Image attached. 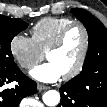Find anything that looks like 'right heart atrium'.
<instances>
[{
  "mask_svg": "<svg viewBox=\"0 0 107 107\" xmlns=\"http://www.w3.org/2000/svg\"><path fill=\"white\" fill-rule=\"evenodd\" d=\"M11 55L23 69H32L43 58V52L35 41L23 33L12 37L9 43Z\"/></svg>",
  "mask_w": 107,
  "mask_h": 107,
  "instance_id": "right-heart-atrium-1",
  "label": "right heart atrium"
}]
</instances>
